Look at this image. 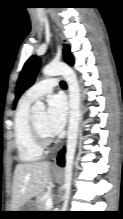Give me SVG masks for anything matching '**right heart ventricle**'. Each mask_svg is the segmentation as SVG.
Instances as JSON below:
<instances>
[{
	"instance_id": "right-heart-ventricle-1",
	"label": "right heart ventricle",
	"mask_w": 123,
	"mask_h": 219,
	"mask_svg": "<svg viewBox=\"0 0 123 219\" xmlns=\"http://www.w3.org/2000/svg\"><path fill=\"white\" fill-rule=\"evenodd\" d=\"M31 103L22 98L14 119L15 146L19 159L25 163L38 161L43 156V149L37 144L31 127Z\"/></svg>"
}]
</instances>
